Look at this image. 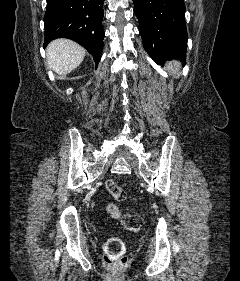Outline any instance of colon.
Wrapping results in <instances>:
<instances>
[{
    "label": "colon",
    "mask_w": 240,
    "mask_h": 281,
    "mask_svg": "<svg viewBox=\"0 0 240 281\" xmlns=\"http://www.w3.org/2000/svg\"><path fill=\"white\" fill-rule=\"evenodd\" d=\"M106 190L117 201L132 199L133 196L127 193L115 181H106ZM108 215L113 219H121L125 227L131 231H137L142 226V218L137 214H122L115 204H109L106 208ZM105 262L113 267H123L127 264L128 258L122 244L117 240H110L103 250Z\"/></svg>",
    "instance_id": "colon-1"
}]
</instances>
